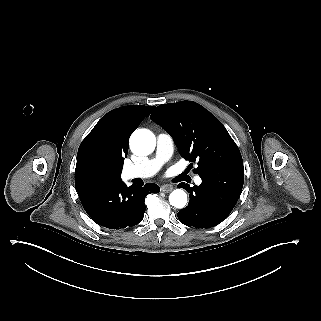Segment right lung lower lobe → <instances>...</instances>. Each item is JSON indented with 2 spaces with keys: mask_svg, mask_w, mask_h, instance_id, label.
<instances>
[{
  "mask_svg": "<svg viewBox=\"0 0 321 321\" xmlns=\"http://www.w3.org/2000/svg\"><path fill=\"white\" fill-rule=\"evenodd\" d=\"M160 191L158 185L127 187L122 181L115 184L89 185L77 190L87 214L99 225L109 229L132 227L143 219L145 197Z\"/></svg>",
  "mask_w": 321,
  "mask_h": 321,
  "instance_id": "98d812e1",
  "label": "right lung lower lobe"
}]
</instances>
